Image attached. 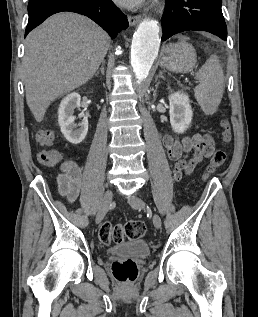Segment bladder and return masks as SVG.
I'll return each instance as SVG.
<instances>
[{"label": "bladder", "mask_w": 258, "mask_h": 317, "mask_svg": "<svg viewBox=\"0 0 258 317\" xmlns=\"http://www.w3.org/2000/svg\"><path fill=\"white\" fill-rule=\"evenodd\" d=\"M107 253L127 259H145L150 255V248L143 240H133L113 246Z\"/></svg>", "instance_id": "bladder-1"}]
</instances>
